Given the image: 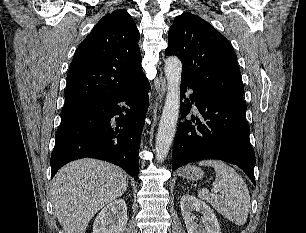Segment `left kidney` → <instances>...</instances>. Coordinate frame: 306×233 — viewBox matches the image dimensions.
Wrapping results in <instances>:
<instances>
[{
    "label": "left kidney",
    "instance_id": "5707ae66",
    "mask_svg": "<svg viewBox=\"0 0 306 233\" xmlns=\"http://www.w3.org/2000/svg\"><path fill=\"white\" fill-rule=\"evenodd\" d=\"M180 207L187 233H221L220 225L213 210L205 202L189 194L183 195ZM200 212L202 225L197 224L193 212Z\"/></svg>",
    "mask_w": 306,
    "mask_h": 233
}]
</instances>
